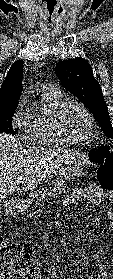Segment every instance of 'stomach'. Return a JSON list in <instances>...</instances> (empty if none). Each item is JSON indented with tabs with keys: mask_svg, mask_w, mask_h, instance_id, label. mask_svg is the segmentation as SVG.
I'll use <instances>...</instances> for the list:
<instances>
[{
	"mask_svg": "<svg viewBox=\"0 0 113 279\" xmlns=\"http://www.w3.org/2000/svg\"><path fill=\"white\" fill-rule=\"evenodd\" d=\"M89 163L88 156L83 152L72 151L69 158L59 169L60 180L64 183L79 177L85 165ZM31 203V200H22V206L25 208Z\"/></svg>",
	"mask_w": 113,
	"mask_h": 279,
	"instance_id": "stomach-1",
	"label": "stomach"
}]
</instances>
